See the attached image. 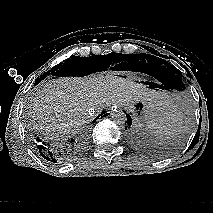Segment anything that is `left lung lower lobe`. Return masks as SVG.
<instances>
[{
  "mask_svg": "<svg viewBox=\"0 0 213 213\" xmlns=\"http://www.w3.org/2000/svg\"><path fill=\"white\" fill-rule=\"evenodd\" d=\"M156 79L159 81V84L151 83V82H146V84L149 85L150 88H160L162 90H173L174 89L172 83L170 81H168L167 79H165V78H156ZM126 116H127V121H126L127 126L130 127L132 124V119L130 118L129 114H127V113H126ZM133 142L138 148L143 150L145 153L154 155L152 149H150V147L148 145H146L145 143L141 142V140L139 141V138H136V139L134 138Z\"/></svg>",
  "mask_w": 213,
  "mask_h": 213,
  "instance_id": "obj_1",
  "label": "left lung lower lobe"
}]
</instances>
